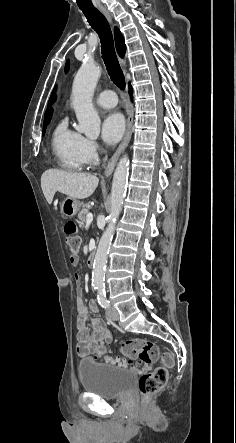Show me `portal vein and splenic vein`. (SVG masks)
Wrapping results in <instances>:
<instances>
[{
    "mask_svg": "<svg viewBox=\"0 0 236 443\" xmlns=\"http://www.w3.org/2000/svg\"><path fill=\"white\" fill-rule=\"evenodd\" d=\"M86 221L87 222H92L93 221V214L92 213H88L86 216Z\"/></svg>",
    "mask_w": 236,
    "mask_h": 443,
    "instance_id": "18ae733b",
    "label": "portal vein and splenic vein"
}]
</instances>
